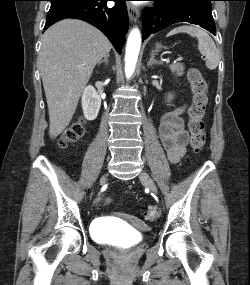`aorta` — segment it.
Returning a JSON list of instances; mask_svg holds the SVG:
<instances>
[{
    "label": "aorta",
    "instance_id": "obj_1",
    "mask_svg": "<svg viewBox=\"0 0 250 285\" xmlns=\"http://www.w3.org/2000/svg\"><path fill=\"white\" fill-rule=\"evenodd\" d=\"M141 47V34L138 28H133L128 36L125 51V74L129 79L137 63L139 51Z\"/></svg>",
    "mask_w": 250,
    "mask_h": 285
}]
</instances>
